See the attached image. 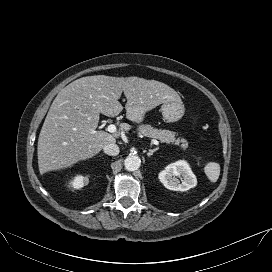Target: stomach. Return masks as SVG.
<instances>
[{"instance_id": "0dacf381", "label": "stomach", "mask_w": 272, "mask_h": 272, "mask_svg": "<svg viewBox=\"0 0 272 272\" xmlns=\"http://www.w3.org/2000/svg\"><path fill=\"white\" fill-rule=\"evenodd\" d=\"M161 111L164 120L173 123L179 121L183 117L185 107L181 100L169 101L162 105Z\"/></svg>"}]
</instances>
